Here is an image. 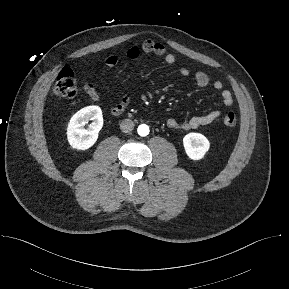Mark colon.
Wrapping results in <instances>:
<instances>
[{"label": "colon", "mask_w": 289, "mask_h": 289, "mask_svg": "<svg viewBox=\"0 0 289 289\" xmlns=\"http://www.w3.org/2000/svg\"><path fill=\"white\" fill-rule=\"evenodd\" d=\"M53 93L57 97L71 98L77 93L76 71L71 67H65L53 87ZM223 124L227 128H234L237 124L235 113L228 112L223 118Z\"/></svg>", "instance_id": "5ec220e1"}]
</instances>
